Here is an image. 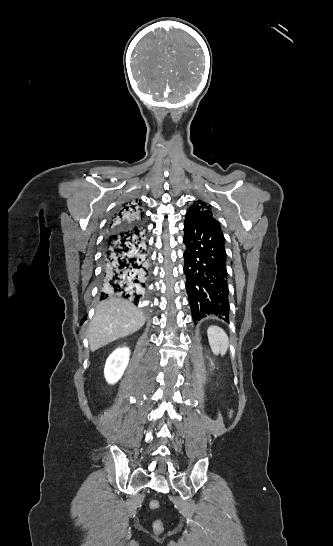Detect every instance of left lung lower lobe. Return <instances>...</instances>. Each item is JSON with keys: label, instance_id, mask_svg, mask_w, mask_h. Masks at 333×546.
I'll list each match as a JSON object with an SVG mask.
<instances>
[{"label": "left lung lower lobe", "instance_id": "1", "mask_svg": "<svg viewBox=\"0 0 333 546\" xmlns=\"http://www.w3.org/2000/svg\"><path fill=\"white\" fill-rule=\"evenodd\" d=\"M186 288L193 320L217 316L229 322L225 239L214 220L185 216Z\"/></svg>", "mask_w": 333, "mask_h": 546}]
</instances>
